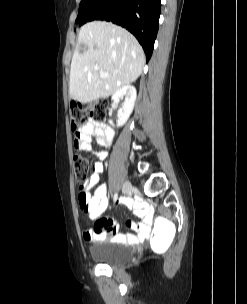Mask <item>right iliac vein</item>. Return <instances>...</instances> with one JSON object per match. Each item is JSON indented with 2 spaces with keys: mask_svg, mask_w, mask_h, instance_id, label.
<instances>
[{
  "mask_svg": "<svg viewBox=\"0 0 247 304\" xmlns=\"http://www.w3.org/2000/svg\"><path fill=\"white\" fill-rule=\"evenodd\" d=\"M132 191V185L129 181H126L123 185V194L124 195H130Z\"/></svg>",
  "mask_w": 247,
  "mask_h": 304,
  "instance_id": "obj_1",
  "label": "right iliac vein"
}]
</instances>
